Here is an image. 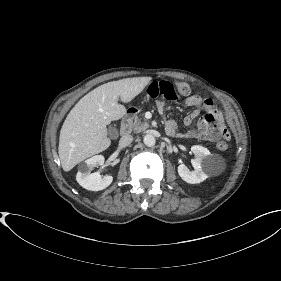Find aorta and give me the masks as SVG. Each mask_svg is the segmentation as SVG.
<instances>
[{"label":"aorta","mask_w":281,"mask_h":281,"mask_svg":"<svg viewBox=\"0 0 281 281\" xmlns=\"http://www.w3.org/2000/svg\"><path fill=\"white\" fill-rule=\"evenodd\" d=\"M143 142L146 146L151 147L155 145V137L151 134H147L144 136Z\"/></svg>","instance_id":"obj_1"}]
</instances>
